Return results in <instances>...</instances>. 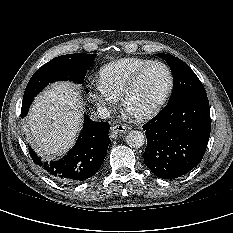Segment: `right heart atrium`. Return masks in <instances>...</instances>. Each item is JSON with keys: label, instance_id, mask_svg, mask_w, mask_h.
Masks as SVG:
<instances>
[{"label": "right heart atrium", "instance_id": "1", "mask_svg": "<svg viewBox=\"0 0 233 233\" xmlns=\"http://www.w3.org/2000/svg\"><path fill=\"white\" fill-rule=\"evenodd\" d=\"M88 98L99 109L104 111L113 108L117 102V98L102 88L98 82L95 83L92 90L89 91Z\"/></svg>", "mask_w": 233, "mask_h": 233}]
</instances>
